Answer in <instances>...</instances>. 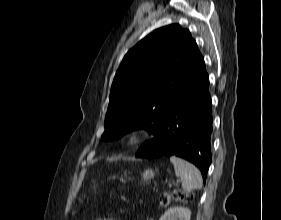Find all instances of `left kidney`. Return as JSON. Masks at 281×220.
<instances>
[{
    "mask_svg": "<svg viewBox=\"0 0 281 220\" xmlns=\"http://www.w3.org/2000/svg\"><path fill=\"white\" fill-rule=\"evenodd\" d=\"M191 211L186 207H170L159 220H190Z\"/></svg>",
    "mask_w": 281,
    "mask_h": 220,
    "instance_id": "5707ae66",
    "label": "left kidney"
}]
</instances>
